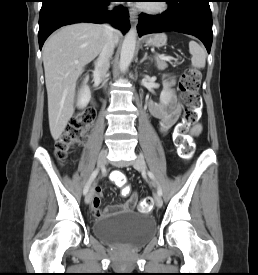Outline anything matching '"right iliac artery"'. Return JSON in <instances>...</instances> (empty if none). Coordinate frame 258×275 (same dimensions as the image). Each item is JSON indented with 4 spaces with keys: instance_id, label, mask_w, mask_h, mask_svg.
I'll return each mask as SVG.
<instances>
[{
    "instance_id": "82829eb1",
    "label": "right iliac artery",
    "mask_w": 258,
    "mask_h": 275,
    "mask_svg": "<svg viewBox=\"0 0 258 275\" xmlns=\"http://www.w3.org/2000/svg\"><path fill=\"white\" fill-rule=\"evenodd\" d=\"M98 172H99V170H98V169H95V170L93 171V173L91 174V176H90L88 182L86 183V185H85V187H84V190H83V194H84V195L87 194V192H88V190H89V187H90L91 183L94 181V179L96 178V176L98 175Z\"/></svg>"
}]
</instances>
